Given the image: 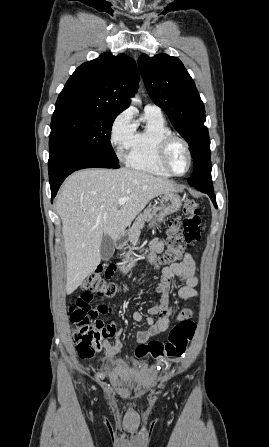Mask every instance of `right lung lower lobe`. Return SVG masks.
Here are the masks:
<instances>
[{
	"label": "right lung lower lobe",
	"mask_w": 269,
	"mask_h": 447,
	"mask_svg": "<svg viewBox=\"0 0 269 447\" xmlns=\"http://www.w3.org/2000/svg\"><path fill=\"white\" fill-rule=\"evenodd\" d=\"M49 179L51 196L54 198L65 178L84 168H119L118 162L94 153L73 149L56 142H49Z\"/></svg>",
	"instance_id": "1"
}]
</instances>
